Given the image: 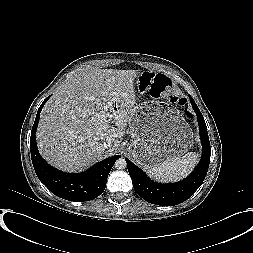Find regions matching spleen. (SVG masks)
<instances>
[{"instance_id": "1", "label": "spleen", "mask_w": 253, "mask_h": 253, "mask_svg": "<svg viewBox=\"0 0 253 253\" xmlns=\"http://www.w3.org/2000/svg\"><path fill=\"white\" fill-rule=\"evenodd\" d=\"M197 162L198 154L195 152H188L179 158L148 167L146 172L149 176L163 182L176 181L187 176Z\"/></svg>"}]
</instances>
